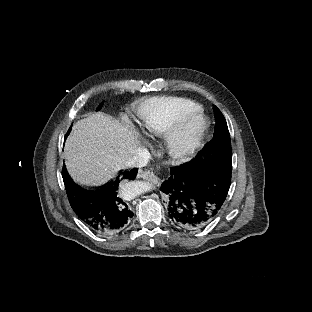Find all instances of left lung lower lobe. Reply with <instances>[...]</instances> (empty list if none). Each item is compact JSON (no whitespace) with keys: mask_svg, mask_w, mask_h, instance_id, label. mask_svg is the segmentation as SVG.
Wrapping results in <instances>:
<instances>
[{"mask_svg":"<svg viewBox=\"0 0 312 312\" xmlns=\"http://www.w3.org/2000/svg\"><path fill=\"white\" fill-rule=\"evenodd\" d=\"M198 156L171 168L161 185L170 221L192 230L203 229L218 215L231 184L232 153Z\"/></svg>","mask_w":312,"mask_h":312,"instance_id":"0a47b994","label":"left lung lower lobe"}]
</instances>
